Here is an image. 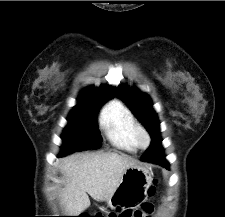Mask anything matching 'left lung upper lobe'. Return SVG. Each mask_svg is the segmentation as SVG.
Segmentation results:
<instances>
[{
  "label": "left lung upper lobe",
  "mask_w": 225,
  "mask_h": 217,
  "mask_svg": "<svg viewBox=\"0 0 225 217\" xmlns=\"http://www.w3.org/2000/svg\"><path fill=\"white\" fill-rule=\"evenodd\" d=\"M115 94L126 102L134 115L143 123L150 133L152 140L159 139L161 142L159 133L160 123L158 121L157 114L152 109L150 97L140 92L136 87L130 88L125 84L119 85ZM148 150L142 158L147 154Z\"/></svg>",
  "instance_id": "left-lung-upper-lobe-1"
}]
</instances>
